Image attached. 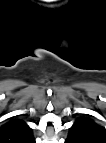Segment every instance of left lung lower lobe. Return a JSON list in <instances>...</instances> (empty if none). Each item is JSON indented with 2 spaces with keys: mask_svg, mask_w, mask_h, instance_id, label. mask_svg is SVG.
I'll return each mask as SVG.
<instances>
[{
  "mask_svg": "<svg viewBox=\"0 0 106 143\" xmlns=\"http://www.w3.org/2000/svg\"><path fill=\"white\" fill-rule=\"evenodd\" d=\"M65 143H79V141L75 137L68 135Z\"/></svg>",
  "mask_w": 106,
  "mask_h": 143,
  "instance_id": "1",
  "label": "left lung lower lobe"
}]
</instances>
